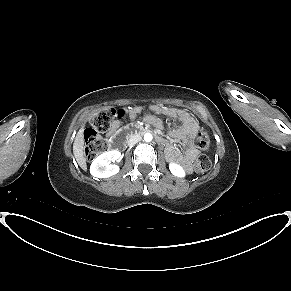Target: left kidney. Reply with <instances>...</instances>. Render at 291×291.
<instances>
[{
    "instance_id": "1",
    "label": "left kidney",
    "mask_w": 291,
    "mask_h": 291,
    "mask_svg": "<svg viewBox=\"0 0 291 291\" xmlns=\"http://www.w3.org/2000/svg\"><path fill=\"white\" fill-rule=\"evenodd\" d=\"M169 169L171 171V173L174 175V176H177V177H185L186 173H185V170L183 169L182 166L176 164V163H170L169 164Z\"/></svg>"
}]
</instances>
